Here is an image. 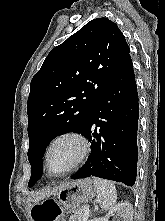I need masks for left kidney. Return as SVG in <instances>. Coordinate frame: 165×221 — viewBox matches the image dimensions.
Here are the masks:
<instances>
[{
  "label": "left kidney",
  "mask_w": 165,
  "mask_h": 221,
  "mask_svg": "<svg viewBox=\"0 0 165 221\" xmlns=\"http://www.w3.org/2000/svg\"><path fill=\"white\" fill-rule=\"evenodd\" d=\"M113 214H117L122 221L133 220V206L129 202H121L113 206L106 214V218L103 221H107V218Z\"/></svg>",
  "instance_id": "left-kidney-1"
}]
</instances>
